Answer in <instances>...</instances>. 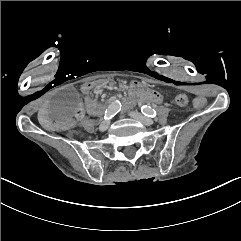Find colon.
Returning a JSON list of instances; mask_svg holds the SVG:
<instances>
[{
	"instance_id": "1",
	"label": "colon",
	"mask_w": 241,
	"mask_h": 241,
	"mask_svg": "<svg viewBox=\"0 0 241 241\" xmlns=\"http://www.w3.org/2000/svg\"><path fill=\"white\" fill-rule=\"evenodd\" d=\"M177 103L179 105H186L188 103V96L185 93H179L177 95ZM192 108L194 110H206L208 108V103L201 96H196L194 102L192 103ZM86 115L85 109L81 106L76 111V119L81 121Z\"/></svg>"
}]
</instances>
